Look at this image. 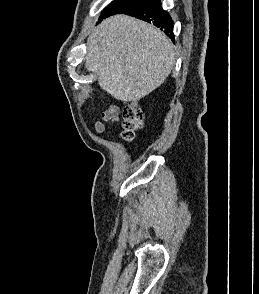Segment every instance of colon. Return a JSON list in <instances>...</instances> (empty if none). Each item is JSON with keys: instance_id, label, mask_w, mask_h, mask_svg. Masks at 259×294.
<instances>
[{"instance_id": "5ec220e1", "label": "colon", "mask_w": 259, "mask_h": 294, "mask_svg": "<svg viewBox=\"0 0 259 294\" xmlns=\"http://www.w3.org/2000/svg\"><path fill=\"white\" fill-rule=\"evenodd\" d=\"M123 137L127 140L134 138L136 132L142 127L143 112L135 102L127 103L122 112Z\"/></svg>"}]
</instances>
